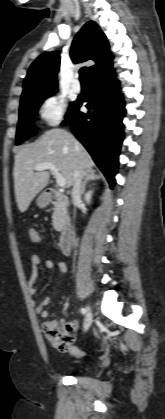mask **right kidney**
Masks as SVG:
<instances>
[{
  "instance_id": "1",
  "label": "right kidney",
  "mask_w": 165,
  "mask_h": 419,
  "mask_svg": "<svg viewBox=\"0 0 165 419\" xmlns=\"http://www.w3.org/2000/svg\"><path fill=\"white\" fill-rule=\"evenodd\" d=\"M92 193H93V192L90 190V191H88V192L85 194V201H86L87 203H90Z\"/></svg>"
}]
</instances>
